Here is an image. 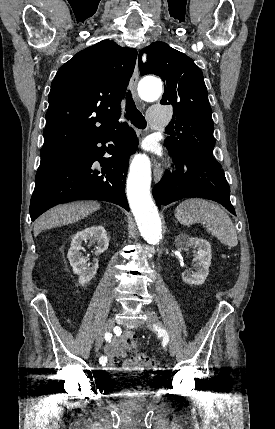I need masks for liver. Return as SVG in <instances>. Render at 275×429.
<instances>
[{
	"mask_svg": "<svg viewBox=\"0 0 275 429\" xmlns=\"http://www.w3.org/2000/svg\"><path fill=\"white\" fill-rule=\"evenodd\" d=\"M100 208L97 202H75L59 205L43 214L34 223V235L42 230L74 223Z\"/></svg>",
	"mask_w": 275,
	"mask_h": 429,
	"instance_id": "6515ba94",
	"label": "liver"
}]
</instances>
